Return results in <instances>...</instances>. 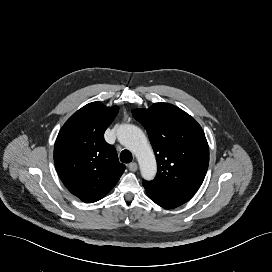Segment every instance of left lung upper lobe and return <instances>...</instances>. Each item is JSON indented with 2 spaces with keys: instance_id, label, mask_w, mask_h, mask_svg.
<instances>
[{
  "instance_id": "1",
  "label": "left lung upper lobe",
  "mask_w": 272,
  "mask_h": 272,
  "mask_svg": "<svg viewBox=\"0 0 272 272\" xmlns=\"http://www.w3.org/2000/svg\"><path fill=\"white\" fill-rule=\"evenodd\" d=\"M132 113L147 130L156 155L158 171L150 182L195 194L209 164V147L201 126L168 103H155Z\"/></svg>"
}]
</instances>
